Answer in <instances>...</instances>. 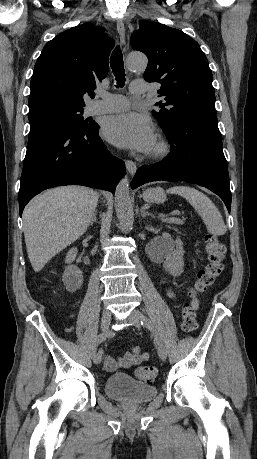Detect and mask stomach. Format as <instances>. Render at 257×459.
Masks as SVG:
<instances>
[{
    "label": "stomach",
    "instance_id": "stomach-1",
    "mask_svg": "<svg viewBox=\"0 0 257 459\" xmlns=\"http://www.w3.org/2000/svg\"><path fill=\"white\" fill-rule=\"evenodd\" d=\"M143 198L148 203H152V202L161 203L165 201L166 195H165L164 190L160 187L148 188L143 193Z\"/></svg>",
    "mask_w": 257,
    "mask_h": 459
}]
</instances>
